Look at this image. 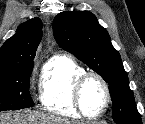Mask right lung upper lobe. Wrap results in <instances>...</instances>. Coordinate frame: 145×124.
Listing matches in <instances>:
<instances>
[{
  "mask_svg": "<svg viewBox=\"0 0 145 124\" xmlns=\"http://www.w3.org/2000/svg\"><path fill=\"white\" fill-rule=\"evenodd\" d=\"M42 38V23L38 17L21 24L14 36L0 49V69H12L33 62Z\"/></svg>",
  "mask_w": 145,
  "mask_h": 124,
  "instance_id": "1",
  "label": "right lung upper lobe"
}]
</instances>
